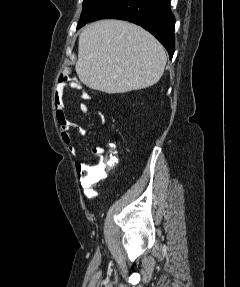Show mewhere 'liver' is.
<instances>
[{
    "label": "liver",
    "mask_w": 240,
    "mask_h": 287,
    "mask_svg": "<svg viewBox=\"0 0 240 287\" xmlns=\"http://www.w3.org/2000/svg\"><path fill=\"white\" fill-rule=\"evenodd\" d=\"M166 61L164 47L142 27L102 20L81 32L75 70L90 89L126 93L156 84Z\"/></svg>",
    "instance_id": "liver-1"
}]
</instances>
